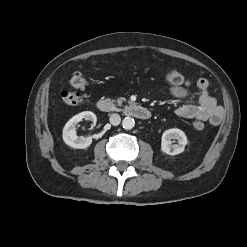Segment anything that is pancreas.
<instances>
[{"label":"pancreas","instance_id":"1","mask_svg":"<svg viewBox=\"0 0 247 247\" xmlns=\"http://www.w3.org/2000/svg\"><path fill=\"white\" fill-rule=\"evenodd\" d=\"M125 101L126 99L124 97H119L116 100H114V102L117 103L118 105H122V103Z\"/></svg>","mask_w":247,"mask_h":247}]
</instances>
